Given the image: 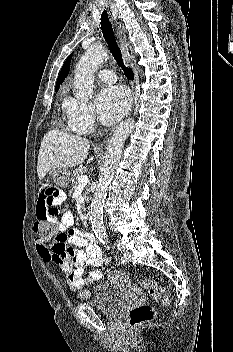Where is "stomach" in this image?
<instances>
[{
	"instance_id": "obj_1",
	"label": "stomach",
	"mask_w": 233,
	"mask_h": 352,
	"mask_svg": "<svg viewBox=\"0 0 233 352\" xmlns=\"http://www.w3.org/2000/svg\"><path fill=\"white\" fill-rule=\"evenodd\" d=\"M50 175L58 186H68L70 180V173L67 168H53L50 171Z\"/></svg>"
}]
</instances>
